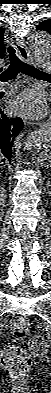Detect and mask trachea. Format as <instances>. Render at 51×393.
<instances>
[{
  "label": "trachea",
  "instance_id": "1",
  "mask_svg": "<svg viewBox=\"0 0 51 393\" xmlns=\"http://www.w3.org/2000/svg\"><path fill=\"white\" fill-rule=\"evenodd\" d=\"M7 51L10 57V65L8 68L0 74V80L2 82H7L14 79L19 72L30 76H42L46 73L34 68L27 63L21 61L16 55V51L12 46H8Z\"/></svg>",
  "mask_w": 51,
  "mask_h": 393
}]
</instances>
